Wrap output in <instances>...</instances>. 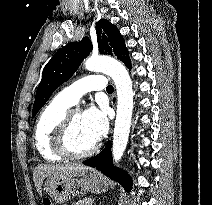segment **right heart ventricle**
<instances>
[{
  "label": "right heart ventricle",
  "mask_w": 212,
  "mask_h": 205,
  "mask_svg": "<svg viewBox=\"0 0 212 205\" xmlns=\"http://www.w3.org/2000/svg\"><path fill=\"white\" fill-rule=\"evenodd\" d=\"M69 106L56 96L42 109L36 121L34 129L35 147L47 161L59 162L64 158L54 149L53 134L67 113Z\"/></svg>",
  "instance_id": "right-heart-ventricle-1"
}]
</instances>
